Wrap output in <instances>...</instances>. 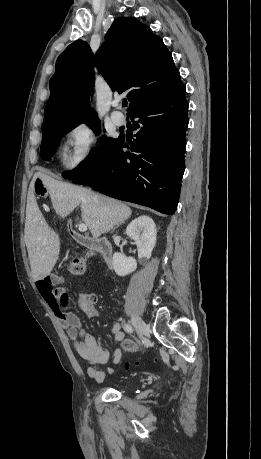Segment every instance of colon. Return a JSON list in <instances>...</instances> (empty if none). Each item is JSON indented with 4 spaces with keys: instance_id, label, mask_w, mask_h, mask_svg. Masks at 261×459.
Listing matches in <instances>:
<instances>
[{
    "instance_id": "obj_1",
    "label": "colon",
    "mask_w": 261,
    "mask_h": 459,
    "mask_svg": "<svg viewBox=\"0 0 261 459\" xmlns=\"http://www.w3.org/2000/svg\"><path fill=\"white\" fill-rule=\"evenodd\" d=\"M86 262L87 258L66 256L62 264L71 275H81L85 271ZM95 303L96 295L94 293L84 292L79 297V304L92 307ZM122 347L128 352H135L138 350L135 343L129 339L123 341Z\"/></svg>"
}]
</instances>
